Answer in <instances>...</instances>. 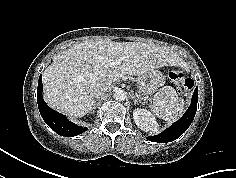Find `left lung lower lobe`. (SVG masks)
I'll use <instances>...</instances> for the list:
<instances>
[{
	"label": "left lung lower lobe",
	"mask_w": 236,
	"mask_h": 178,
	"mask_svg": "<svg viewBox=\"0 0 236 178\" xmlns=\"http://www.w3.org/2000/svg\"><path fill=\"white\" fill-rule=\"evenodd\" d=\"M197 102H198V87L194 90L192 101L190 107L185 112L183 117L176 121L172 126L168 129L160 133L156 136H149L148 140L159 143L171 142L177 138H179L190 126L192 123L196 110H197Z\"/></svg>",
	"instance_id": "obj_1"
}]
</instances>
